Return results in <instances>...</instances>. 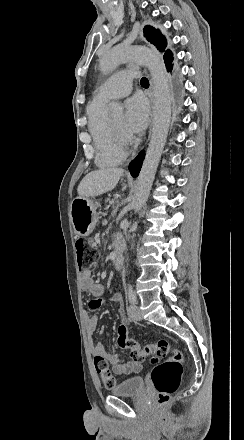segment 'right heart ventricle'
Segmentation results:
<instances>
[{
    "label": "right heart ventricle",
    "instance_id": "e07e8e85",
    "mask_svg": "<svg viewBox=\"0 0 244 440\" xmlns=\"http://www.w3.org/2000/svg\"><path fill=\"white\" fill-rule=\"evenodd\" d=\"M107 102H95L93 99L86 108L88 128L95 142V162L100 168H111L119 165L125 158L122 143L115 140L119 137L111 131L103 114Z\"/></svg>",
    "mask_w": 244,
    "mask_h": 440
}]
</instances>
